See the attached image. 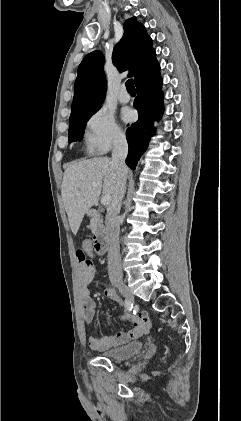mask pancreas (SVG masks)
<instances>
[{
  "instance_id": "1",
  "label": "pancreas",
  "mask_w": 241,
  "mask_h": 421,
  "mask_svg": "<svg viewBox=\"0 0 241 421\" xmlns=\"http://www.w3.org/2000/svg\"><path fill=\"white\" fill-rule=\"evenodd\" d=\"M99 227H100V223L96 219H92L90 222L91 231L93 233H96Z\"/></svg>"
}]
</instances>
